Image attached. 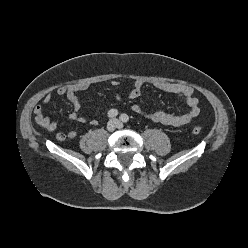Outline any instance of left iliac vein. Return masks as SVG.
<instances>
[{
	"label": "left iliac vein",
	"mask_w": 248,
	"mask_h": 248,
	"mask_svg": "<svg viewBox=\"0 0 248 248\" xmlns=\"http://www.w3.org/2000/svg\"><path fill=\"white\" fill-rule=\"evenodd\" d=\"M118 127H121V125H120V124H118Z\"/></svg>",
	"instance_id": "4c4485c4"
}]
</instances>
